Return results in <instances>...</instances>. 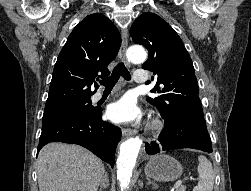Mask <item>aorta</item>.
<instances>
[{"mask_svg":"<svg viewBox=\"0 0 251 191\" xmlns=\"http://www.w3.org/2000/svg\"><path fill=\"white\" fill-rule=\"evenodd\" d=\"M126 56L133 64H142L147 58V54L141 46H131L126 50ZM141 143L140 137H130L120 145V153L117 157V179L123 189H126L130 183L132 169L136 163Z\"/></svg>","mask_w":251,"mask_h":191,"instance_id":"obj_1","label":"aorta"}]
</instances>
